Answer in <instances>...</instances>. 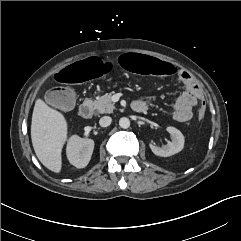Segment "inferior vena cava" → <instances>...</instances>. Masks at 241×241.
Returning a JSON list of instances; mask_svg holds the SVG:
<instances>
[{"label":"inferior vena cava","instance_id":"1","mask_svg":"<svg viewBox=\"0 0 241 241\" xmlns=\"http://www.w3.org/2000/svg\"><path fill=\"white\" fill-rule=\"evenodd\" d=\"M112 118L109 116H104L99 120V124L101 127H107L111 124Z\"/></svg>","mask_w":241,"mask_h":241}]
</instances>
